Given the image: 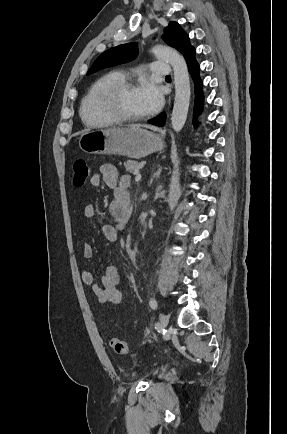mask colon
Wrapping results in <instances>:
<instances>
[{
    "instance_id": "1",
    "label": "colon",
    "mask_w": 287,
    "mask_h": 434,
    "mask_svg": "<svg viewBox=\"0 0 287 434\" xmlns=\"http://www.w3.org/2000/svg\"><path fill=\"white\" fill-rule=\"evenodd\" d=\"M90 175L89 167L86 161L77 159L73 163V184L76 187H81L85 184ZM109 345L111 349L117 354H128L130 352L129 345L116 337L109 339Z\"/></svg>"
}]
</instances>
